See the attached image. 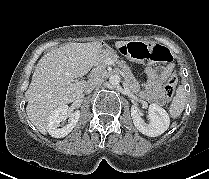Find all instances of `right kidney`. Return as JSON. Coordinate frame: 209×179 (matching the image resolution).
I'll list each match as a JSON object with an SVG mask.
<instances>
[{"instance_id": "ca27d5eb", "label": "right kidney", "mask_w": 209, "mask_h": 179, "mask_svg": "<svg viewBox=\"0 0 209 179\" xmlns=\"http://www.w3.org/2000/svg\"><path fill=\"white\" fill-rule=\"evenodd\" d=\"M68 117L70 118V122L66 126L59 128L60 123L65 121ZM79 118V110L68 114V106H60L49 115L47 120V131L54 138H63L73 130Z\"/></svg>"}]
</instances>
